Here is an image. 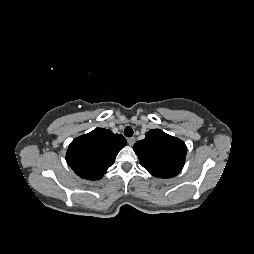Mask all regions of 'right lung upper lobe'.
Listing matches in <instances>:
<instances>
[{"mask_svg": "<svg viewBox=\"0 0 254 254\" xmlns=\"http://www.w3.org/2000/svg\"><path fill=\"white\" fill-rule=\"evenodd\" d=\"M125 145L126 140L122 135L96 128L70 143L66 161L81 178L98 180L113 165L115 157Z\"/></svg>", "mask_w": 254, "mask_h": 254, "instance_id": "obj_1", "label": "right lung upper lobe"}]
</instances>
